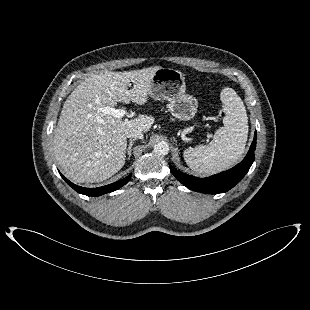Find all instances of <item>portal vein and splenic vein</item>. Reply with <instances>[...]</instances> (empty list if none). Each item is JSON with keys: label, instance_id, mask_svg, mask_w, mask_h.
<instances>
[{"label": "portal vein and splenic vein", "instance_id": "portal-vein-and-splenic-vein-1", "mask_svg": "<svg viewBox=\"0 0 310 310\" xmlns=\"http://www.w3.org/2000/svg\"><path fill=\"white\" fill-rule=\"evenodd\" d=\"M100 111H102L105 114L112 115L113 117L118 119L123 118L127 114V111L125 109H116L110 106L101 107Z\"/></svg>", "mask_w": 310, "mask_h": 310}]
</instances>
